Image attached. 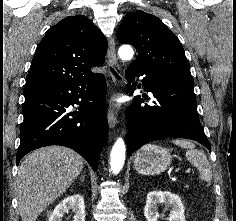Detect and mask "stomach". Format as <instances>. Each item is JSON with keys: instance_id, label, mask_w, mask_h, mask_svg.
Here are the masks:
<instances>
[{"instance_id": "1", "label": "stomach", "mask_w": 236, "mask_h": 221, "mask_svg": "<svg viewBox=\"0 0 236 221\" xmlns=\"http://www.w3.org/2000/svg\"><path fill=\"white\" fill-rule=\"evenodd\" d=\"M169 150L155 144L140 148L133 158L134 168L143 175L160 174L171 164Z\"/></svg>"}]
</instances>
